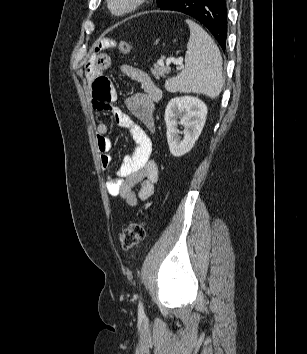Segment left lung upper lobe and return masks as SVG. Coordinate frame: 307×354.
<instances>
[{
	"instance_id": "5c2ea615",
	"label": "left lung upper lobe",
	"mask_w": 307,
	"mask_h": 354,
	"mask_svg": "<svg viewBox=\"0 0 307 354\" xmlns=\"http://www.w3.org/2000/svg\"><path fill=\"white\" fill-rule=\"evenodd\" d=\"M170 0H157V6L162 8L164 5H166Z\"/></svg>"
}]
</instances>
